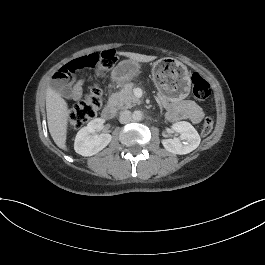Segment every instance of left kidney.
I'll return each instance as SVG.
<instances>
[{"instance_id": "1", "label": "left kidney", "mask_w": 265, "mask_h": 265, "mask_svg": "<svg viewBox=\"0 0 265 265\" xmlns=\"http://www.w3.org/2000/svg\"><path fill=\"white\" fill-rule=\"evenodd\" d=\"M172 130L180 133V137L162 140V144L167 151L183 155L192 152L199 146L201 138L189 122L181 121L174 123Z\"/></svg>"}]
</instances>
